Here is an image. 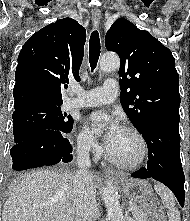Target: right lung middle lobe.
Here are the masks:
<instances>
[{"label": "right lung middle lobe", "instance_id": "dd1d6c3e", "mask_svg": "<svg viewBox=\"0 0 190 221\" xmlns=\"http://www.w3.org/2000/svg\"><path fill=\"white\" fill-rule=\"evenodd\" d=\"M59 104H43L32 106L22 112L14 113L13 133L15 143L23 142L41 130H67L73 126V118L62 114Z\"/></svg>", "mask_w": 190, "mask_h": 221}]
</instances>
